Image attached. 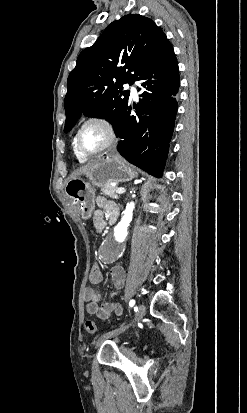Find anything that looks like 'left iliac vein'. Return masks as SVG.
Here are the masks:
<instances>
[{
    "label": "left iliac vein",
    "instance_id": "obj_1",
    "mask_svg": "<svg viewBox=\"0 0 247 413\" xmlns=\"http://www.w3.org/2000/svg\"><path fill=\"white\" fill-rule=\"evenodd\" d=\"M145 311H146L145 305H144V304H141V305L139 306V308H138V311H137V313H136V315H135L134 320H133L130 324H128L127 326H122V327H120V328H118V329L109 331V332L101 335L100 337H98V338L95 340V342H94V348L97 349V348H98L104 341H106L107 339H110V338H112V337L118 336V335H120L121 333H123L129 326L134 325V324L137 322V320L142 319L143 316H144V314H145Z\"/></svg>",
    "mask_w": 247,
    "mask_h": 413
}]
</instances>
